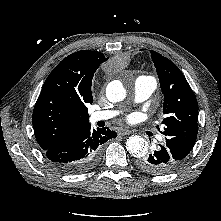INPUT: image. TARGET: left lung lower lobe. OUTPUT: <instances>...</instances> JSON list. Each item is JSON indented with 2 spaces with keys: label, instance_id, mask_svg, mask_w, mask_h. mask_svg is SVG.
Returning a JSON list of instances; mask_svg holds the SVG:
<instances>
[{
  "label": "left lung lower lobe",
  "instance_id": "1",
  "mask_svg": "<svg viewBox=\"0 0 221 221\" xmlns=\"http://www.w3.org/2000/svg\"><path fill=\"white\" fill-rule=\"evenodd\" d=\"M177 157L171 152L166 144H157L152 151L137 159V166L150 174H167L180 166Z\"/></svg>",
  "mask_w": 221,
  "mask_h": 221
}]
</instances>
